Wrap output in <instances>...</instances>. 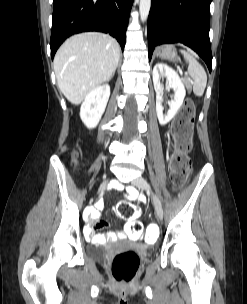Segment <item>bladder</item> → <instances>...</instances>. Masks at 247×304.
<instances>
[{
  "label": "bladder",
  "mask_w": 247,
  "mask_h": 304,
  "mask_svg": "<svg viewBox=\"0 0 247 304\" xmlns=\"http://www.w3.org/2000/svg\"><path fill=\"white\" fill-rule=\"evenodd\" d=\"M106 252V247L104 246H97V247H89L88 248V255L94 259H101L104 257Z\"/></svg>",
  "instance_id": "obj_1"
}]
</instances>
